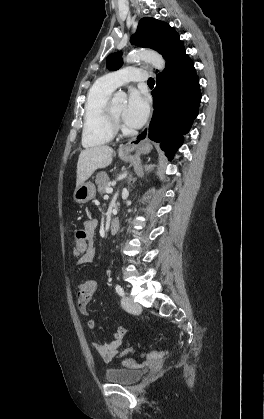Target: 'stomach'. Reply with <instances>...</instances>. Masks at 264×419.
I'll return each instance as SVG.
<instances>
[{"instance_id": "0dacf381", "label": "stomach", "mask_w": 264, "mask_h": 419, "mask_svg": "<svg viewBox=\"0 0 264 419\" xmlns=\"http://www.w3.org/2000/svg\"><path fill=\"white\" fill-rule=\"evenodd\" d=\"M151 146L149 144H142L139 148L141 152H149ZM121 159H126L127 155L119 154ZM96 189L92 182H85L82 185L76 187L73 193V200L76 203H86L95 197Z\"/></svg>"}]
</instances>
